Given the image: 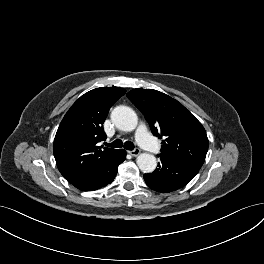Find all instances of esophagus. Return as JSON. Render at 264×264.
Listing matches in <instances>:
<instances>
[{
  "label": "esophagus",
  "instance_id": "1",
  "mask_svg": "<svg viewBox=\"0 0 264 264\" xmlns=\"http://www.w3.org/2000/svg\"><path fill=\"white\" fill-rule=\"evenodd\" d=\"M129 154H131L132 156L136 157L140 154V150L138 148L129 151Z\"/></svg>",
  "mask_w": 264,
  "mask_h": 264
}]
</instances>
